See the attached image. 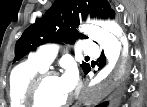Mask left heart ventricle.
<instances>
[{
    "label": "left heart ventricle",
    "mask_w": 147,
    "mask_h": 107,
    "mask_svg": "<svg viewBox=\"0 0 147 107\" xmlns=\"http://www.w3.org/2000/svg\"><path fill=\"white\" fill-rule=\"evenodd\" d=\"M39 96L44 105L55 106L66 101L69 93L64 90L60 77H52L44 82Z\"/></svg>",
    "instance_id": "left-heart-ventricle-1"
}]
</instances>
